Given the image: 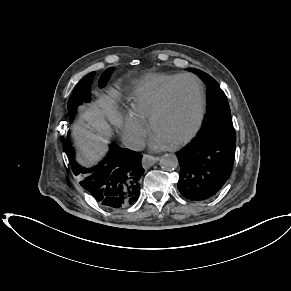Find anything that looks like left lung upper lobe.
<instances>
[{"label": "left lung upper lobe", "mask_w": 291, "mask_h": 291, "mask_svg": "<svg viewBox=\"0 0 291 291\" xmlns=\"http://www.w3.org/2000/svg\"><path fill=\"white\" fill-rule=\"evenodd\" d=\"M187 70L197 74L208 87L207 113L197 136L236 142L230 107L226 95L219 84L210 75L201 70L194 68H188Z\"/></svg>", "instance_id": "left-lung-upper-lobe-1"}]
</instances>
